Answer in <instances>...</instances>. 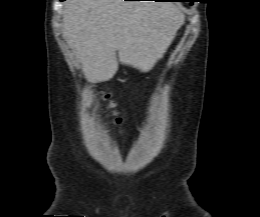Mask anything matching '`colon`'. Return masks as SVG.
Returning a JSON list of instances; mask_svg holds the SVG:
<instances>
[{"label": "colon", "instance_id": "obj_1", "mask_svg": "<svg viewBox=\"0 0 260 217\" xmlns=\"http://www.w3.org/2000/svg\"><path fill=\"white\" fill-rule=\"evenodd\" d=\"M103 109L107 112L108 116L115 125H119L121 123V118L115 110V104L110 100L108 94L103 95Z\"/></svg>", "mask_w": 260, "mask_h": 217}]
</instances>
